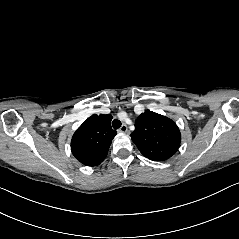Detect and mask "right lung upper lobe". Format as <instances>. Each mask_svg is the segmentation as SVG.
I'll return each instance as SVG.
<instances>
[{"label":"right lung upper lobe","mask_w":239,"mask_h":239,"mask_svg":"<svg viewBox=\"0 0 239 239\" xmlns=\"http://www.w3.org/2000/svg\"><path fill=\"white\" fill-rule=\"evenodd\" d=\"M111 120L110 114H93L75 131L71 150L82 164L97 166L106 158L110 144L117 134L111 128Z\"/></svg>","instance_id":"1"}]
</instances>
